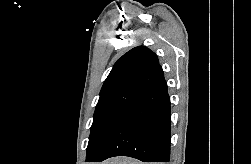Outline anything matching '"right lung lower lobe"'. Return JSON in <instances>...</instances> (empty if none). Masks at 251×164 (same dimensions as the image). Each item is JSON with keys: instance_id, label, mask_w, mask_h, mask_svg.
Instances as JSON below:
<instances>
[{"instance_id": "obj_1", "label": "right lung lower lobe", "mask_w": 251, "mask_h": 164, "mask_svg": "<svg viewBox=\"0 0 251 164\" xmlns=\"http://www.w3.org/2000/svg\"><path fill=\"white\" fill-rule=\"evenodd\" d=\"M170 98L165 79L140 96L113 122L87 162L129 156L143 162H169Z\"/></svg>"}]
</instances>
